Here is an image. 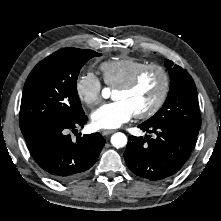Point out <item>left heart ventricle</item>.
Listing matches in <instances>:
<instances>
[{
    "instance_id": "1",
    "label": "left heart ventricle",
    "mask_w": 221,
    "mask_h": 221,
    "mask_svg": "<svg viewBox=\"0 0 221 221\" xmlns=\"http://www.w3.org/2000/svg\"><path fill=\"white\" fill-rule=\"evenodd\" d=\"M161 87V75L156 70H150L132 89L127 91L115 90L113 98L125 101L136 114L147 110L155 102Z\"/></svg>"
}]
</instances>
